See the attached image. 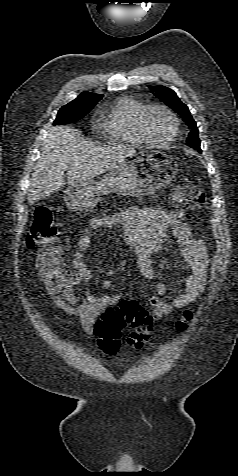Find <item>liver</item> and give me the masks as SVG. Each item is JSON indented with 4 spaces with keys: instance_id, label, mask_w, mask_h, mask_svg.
<instances>
[{
    "instance_id": "obj_1",
    "label": "liver",
    "mask_w": 238,
    "mask_h": 476,
    "mask_svg": "<svg viewBox=\"0 0 238 476\" xmlns=\"http://www.w3.org/2000/svg\"><path fill=\"white\" fill-rule=\"evenodd\" d=\"M136 150L126 146H97L86 142L80 131L69 126L49 129L35 165L28 193L29 204L63 188L92 180L122 162Z\"/></svg>"
}]
</instances>
